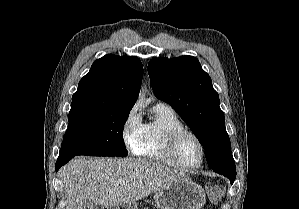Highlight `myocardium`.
Returning a JSON list of instances; mask_svg holds the SVG:
<instances>
[{
    "label": "myocardium",
    "instance_id": "obj_1",
    "mask_svg": "<svg viewBox=\"0 0 299 209\" xmlns=\"http://www.w3.org/2000/svg\"><path fill=\"white\" fill-rule=\"evenodd\" d=\"M186 135L193 137L201 148V160L196 166H186L182 164L178 159L179 142ZM166 155L170 160V163L176 168L185 171H193L199 169L204 164L206 159V147L202 139L195 132L183 128L174 130L168 134L166 139Z\"/></svg>",
    "mask_w": 299,
    "mask_h": 209
}]
</instances>
